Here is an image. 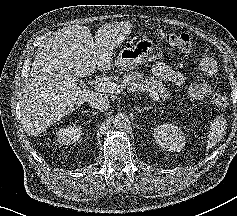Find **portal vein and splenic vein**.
<instances>
[{"mask_svg":"<svg viewBox=\"0 0 237 216\" xmlns=\"http://www.w3.org/2000/svg\"><path fill=\"white\" fill-rule=\"evenodd\" d=\"M90 85H91V88L93 89L102 88L106 90L107 92H111V93L117 92V90L119 89V85L111 83V82H99L96 84V81H92Z\"/></svg>","mask_w":237,"mask_h":216,"instance_id":"1","label":"portal vein and splenic vein"}]
</instances>
